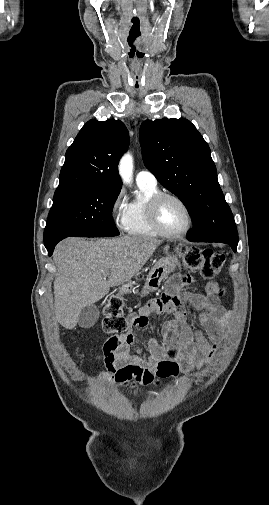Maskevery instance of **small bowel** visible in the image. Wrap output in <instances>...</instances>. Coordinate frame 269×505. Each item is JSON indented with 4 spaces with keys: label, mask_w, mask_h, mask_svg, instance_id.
<instances>
[{
    "label": "small bowel",
    "mask_w": 269,
    "mask_h": 505,
    "mask_svg": "<svg viewBox=\"0 0 269 505\" xmlns=\"http://www.w3.org/2000/svg\"><path fill=\"white\" fill-rule=\"evenodd\" d=\"M193 276L202 279L197 271H193ZM191 282L193 279L188 276L175 277L169 285L170 296L174 298L160 295L153 303H146L137 313L129 315L133 329L150 326L149 316L154 311L156 315H174V319L161 326L164 344L152 343L148 354L131 353L135 342L132 330L109 339L99 356L106 368L101 374L104 382L117 383L132 390L138 384L152 382L155 376H177L181 364L190 371L211 362L229 318L228 312L220 303L224 290L215 281H203L208 283L206 295H175L182 286ZM190 305L201 311V329L195 331L191 330L186 321V306Z\"/></svg>",
    "instance_id": "c3829d8e"
}]
</instances>
